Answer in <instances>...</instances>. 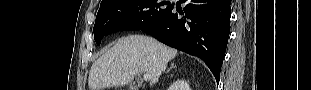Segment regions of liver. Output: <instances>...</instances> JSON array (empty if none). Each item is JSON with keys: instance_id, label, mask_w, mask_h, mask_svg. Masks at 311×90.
Instances as JSON below:
<instances>
[{"instance_id": "1", "label": "liver", "mask_w": 311, "mask_h": 90, "mask_svg": "<svg viewBox=\"0 0 311 90\" xmlns=\"http://www.w3.org/2000/svg\"><path fill=\"white\" fill-rule=\"evenodd\" d=\"M177 50L142 35L123 37L91 66L90 90H103L129 84L139 73L149 74L150 84H156L167 63Z\"/></svg>"}]
</instances>
